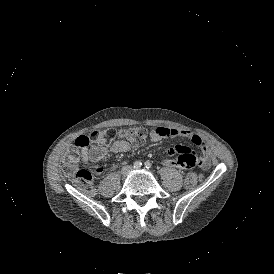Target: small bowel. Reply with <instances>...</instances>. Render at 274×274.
<instances>
[{
	"instance_id": "c3829d8e",
	"label": "small bowel",
	"mask_w": 274,
	"mask_h": 274,
	"mask_svg": "<svg viewBox=\"0 0 274 274\" xmlns=\"http://www.w3.org/2000/svg\"><path fill=\"white\" fill-rule=\"evenodd\" d=\"M184 137L197 145L203 152L202 158L199 160L198 154L188 147L178 146L176 148L169 147L162 154L163 163L170 168L183 167L187 171H193L200 166L208 167L210 164V153L204 140L194 132L186 130L171 129L167 127H157L150 133L152 142H159L166 137ZM110 151L113 153H121L130 149V144L124 140H116L111 146ZM82 160L85 163L100 161L107 154L108 149L103 145H93L91 147L83 146L80 149Z\"/></svg>"
}]
</instances>
